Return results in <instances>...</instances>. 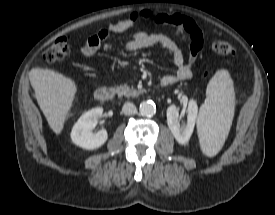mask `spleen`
<instances>
[{
  "mask_svg": "<svg viewBox=\"0 0 275 215\" xmlns=\"http://www.w3.org/2000/svg\"><path fill=\"white\" fill-rule=\"evenodd\" d=\"M235 108L233 81L226 69L217 70L206 89V100L200 107L197 129L202 152L215 156L229 133Z\"/></svg>",
  "mask_w": 275,
  "mask_h": 215,
  "instance_id": "spleen-1",
  "label": "spleen"
}]
</instances>
